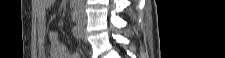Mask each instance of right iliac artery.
Returning <instances> with one entry per match:
<instances>
[{
  "label": "right iliac artery",
  "mask_w": 225,
  "mask_h": 58,
  "mask_svg": "<svg viewBox=\"0 0 225 58\" xmlns=\"http://www.w3.org/2000/svg\"><path fill=\"white\" fill-rule=\"evenodd\" d=\"M72 32H73V35L75 38L77 39H81V33H80V30L78 28V26H74L73 29H72Z\"/></svg>",
  "instance_id": "82829eb1"
}]
</instances>
